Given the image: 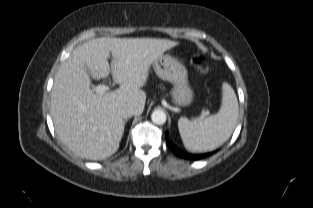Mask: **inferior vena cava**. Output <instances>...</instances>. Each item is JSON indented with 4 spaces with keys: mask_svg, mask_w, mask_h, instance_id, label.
<instances>
[{
    "mask_svg": "<svg viewBox=\"0 0 313 208\" xmlns=\"http://www.w3.org/2000/svg\"><path fill=\"white\" fill-rule=\"evenodd\" d=\"M117 111L122 118L132 117L136 113L135 107L131 104H121Z\"/></svg>",
    "mask_w": 313,
    "mask_h": 208,
    "instance_id": "obj_1",
    "label": "inferior vena cava"
}]
</instances>
